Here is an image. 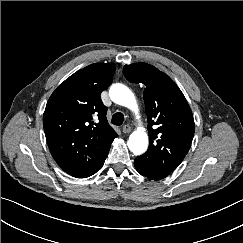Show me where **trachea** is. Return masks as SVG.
Here are the masks:
<instances>
[{
	"label": "trachea",
	"instance_id": "trachea-1",
	"mask_svg": "<svg viewBox=\"0 0 243 243\" xmlns=\"http://www.w3.org/2000/svg\"><path fill=\"white\" fill-rule=\"evenodd\" d=\"M124 122V115L121 112H117L112 116V124L120 126Z\"/></svg>",
	"mask_w": 243,
	"mask_h": 243
}]
</instances>
